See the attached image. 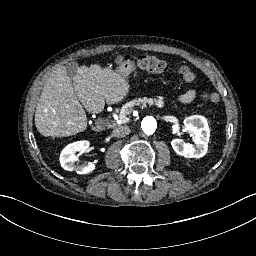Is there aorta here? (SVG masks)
Returning a JSON list of instances; mask_svg holds the SVG:
<instances>
[{
	"mask_svg": "<svg viewBox=\"0 0 256 256\" xmlns=\"http://www.w3.org/2000/svg\"><path fill=\"white\" fill-rule=\"evenodd\" d=\"M141 128L146 134H153L157 130V120L153 116H146L141 121Z\"/></svg>",
	"mask_w": 256,
	"mask_h": 256,
	"instance_id": "obj_1",
	"label": "aorta"
}]
</instances>
